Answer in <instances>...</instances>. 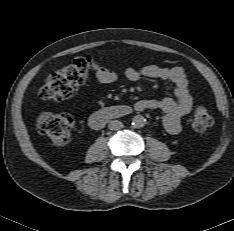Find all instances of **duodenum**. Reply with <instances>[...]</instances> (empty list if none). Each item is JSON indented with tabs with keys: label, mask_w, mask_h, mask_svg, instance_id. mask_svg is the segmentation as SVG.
I'll list each match as a JSON object with an SVG mask.
<instances>
[{
	"label": "duodenum",
	"mask_w": 234,
	"mask_h": 231,
	"mask_svg": "<svg viewBox=\"0 0 234 231\" xmlns=\"http://www.w3.org/2000/svg\"><path fill=\"white\" fill-rule=\"evenodd\" d=\"M131 112V107L127 105H114L105 107L91 115L90 123L94 128H100L106 122L116 118L125 117Z\"/></svg>",
	"instance_id": "duodenum-1"
}]
</instances>
